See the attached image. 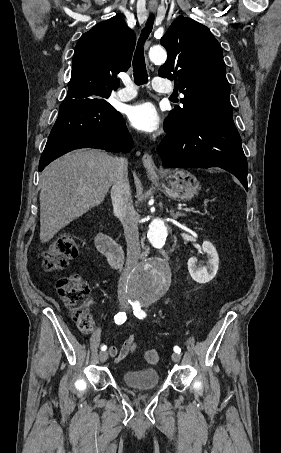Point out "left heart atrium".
<instances>
[{
	"label": "left heart atrium",
	"mask_w": 281,
	"mask_h": 453,
	"mask_svg": "<svg viewBox=\"0 0 281 453\" xmlns=\"http://www.w3.org/2000/svg\"><path fill=\"white\" fill-rule=\"evenodd\" d=\"M131 126L142 132H155L161 124V116L151 102H140L127 110Z\"/></svg>",
	"instance_id": "obj_1"
}]
</instances>
